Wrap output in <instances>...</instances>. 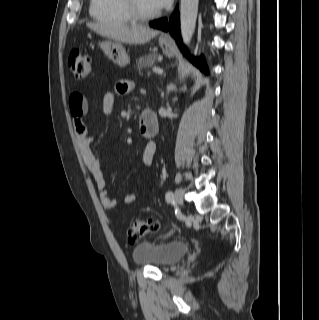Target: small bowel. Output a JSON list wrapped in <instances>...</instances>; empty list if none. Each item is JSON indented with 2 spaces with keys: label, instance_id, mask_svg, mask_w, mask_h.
<instances>
[{
  "label": "small bowel",
  "instance_id": "1",
  "mask_svg": "<svg viewBox=\"0 0 319 320\" xmlns=\"http://www.w3.org/2000/svg\"><path fill=\"white\" fill-rule=\"evenodd\" d=\"M129 90V83L123 81L120 83L119 92L126 93ZM115 105V94L106 93L102 97V110L104 114L112 113ZM87 102L80 92H73L69 98V109L73 117V126L77 138V146L82 160L91 174L96 187L99 190L101 204L105 209L115 208L117 201L107 191L106 181L100 168L98 156L92 149L93 136L89 132L83 117L86 112ZM156 152L154 142H147L142 152V162L145 166H151ZM138 199V193L131 192L123 197V203L126 205L134 203Z\"/></svg>",
  "mask_w": 319,
  "mask_h": 320
}]
</instances>
